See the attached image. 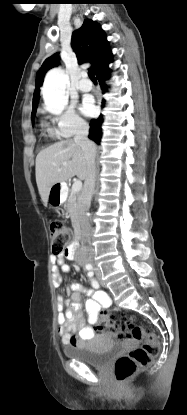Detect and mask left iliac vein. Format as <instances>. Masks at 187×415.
Listing matches in <instances>:
<instances>
[{"mask_svg":"<svg viewBox=\"0 0 187 415\" xmlns=\"http://www.w3.org/2000/svg\"><path fill=\"white\" fill-rule=\"evenodd\" d=\"M95 275L97 280L101 283V272L99 269H95Z\"/></svg>","mask_w":187,"mask_h":415,"instance_id":"obj_1","label":"left iliac vein"}]
</instances>
